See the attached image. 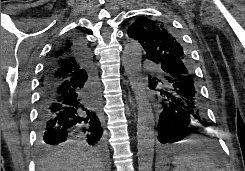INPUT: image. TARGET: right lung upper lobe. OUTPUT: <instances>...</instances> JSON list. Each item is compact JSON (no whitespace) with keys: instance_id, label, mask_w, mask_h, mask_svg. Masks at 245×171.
Wrapping results in <instances>:
<instances>
[{"instance_id":"1","label":"right lung upper lobe","mask_w":245,"mask_h":171,"mask_svg":"<svg viewBox=\"0 0 245 171\" xmlns=\"http://www.w3.org/2000/svg\"><path fill=\"white\" fill-rule=\"evenodd\" d=\"M76 39H66L59 44L51 57L57 62V69L53 79H66L84 75L86 73L82 63L75 55Z\"/></svg>"}]
</instances>
